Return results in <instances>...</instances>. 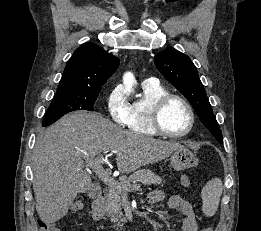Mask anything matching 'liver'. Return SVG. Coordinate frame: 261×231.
Here are the masks:
<instances>
[{
  "mask_svg": "<svg viewBox=\"0 0 261 231\" xmlns=\"http://www.w3.org/2000/svg\"><path fill=\"white\" fill-rule=\"evenodd\" d=\"M122 129L95 113L75 112L60 118L38 137L33 157L36 210L47 224L63 218L78 193L92 190L84 171L87 160L105 151H117L118 170L129 173L184 148Z\"/></svg>",
  "mask_w": 261,
  "mask_h": 231,
  "instance_id": "1",
  "label": "liver"
}]
</instances>
